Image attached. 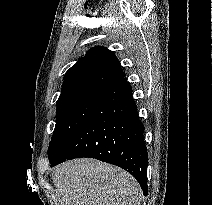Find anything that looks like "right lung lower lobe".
I'll list each match as a JSON object with an SVG mask.
<instances>
[{
    "mask_svg": "<svg viewBox=\"0 0 212 205\" xmlns=\"http://www.w3.org/2000/svg\"><path fill=\"white\" fill-rule=\"evenodd\" d=\"M143 133L132 89L123 77L103 92L87 121L58 156L50 159L51 166L74 158H95L128 171L147 195L148 154Z\"/></svg>",
    "mask_w": 212,
    "mask_h": 205,
    "instance_id": "right-lung-lower-lobe-1",
    "label": "right lung lower lobe"
}]
</instances>
